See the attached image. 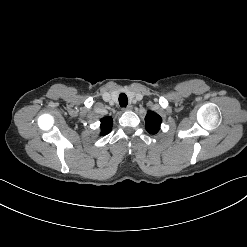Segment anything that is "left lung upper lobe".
I'll list each match as a JSON object with an SVG mask.
<instances>
[{
    "instance_id": "1",
    "label": "left lung upper lobe",
    "mask_w": 247,
    "mask_h": 247,
    "mask_svg": "<svg viewBox=\"0 0 247 247\" xmlns=\"http://www.w3.org/2000/svg\"><path fill=\"white\" fill-rule=\"evenodd\" d=\"M146 130L150 134H156L160 130L162 118L153 111H149L145 117Z\"/></svg>"
}]
</instances>
